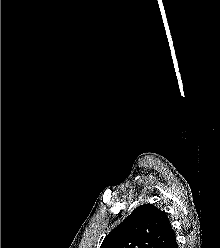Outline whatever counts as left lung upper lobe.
<instances>
[{
    "label": "left lung upper lobe",
    "instance_id": "1",
    "mask_svg": "<svg viewBox=\"0 0 220 248\" xmlns=\"http://www.w3.org/2000/svg\"><path fill=\"white\" fill-rule=\"evenodd\" d=\"M174 237L167 214L143 204L105 237L100 248H166Z\"/></svg>",
    "mask_w": 220,
    "mask_h": 248
}]
</instances>
